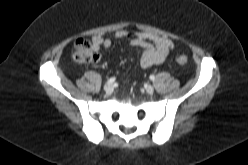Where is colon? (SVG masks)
Listing matches in <instances>:
<instances>
[{
    "label": "colon",
    "mask_w": 248,
    "mask_h": 165,
    "mask_svg": "<svg viewBox=\"0 0 248 165\" xmlns=\"http://www.w3.org/2000/svg\"><path fill=\"white\" fill-rule=\"evenodd\" d=\"M99 52L93 47L87 39H79L75 43L73 51V59L79 64H92L99 60ZM176 61L179 64L187 63L188 59L185 55H178Z\"/></svg>",
    "instance_id": "5ec220e1"
}]
</instances>
